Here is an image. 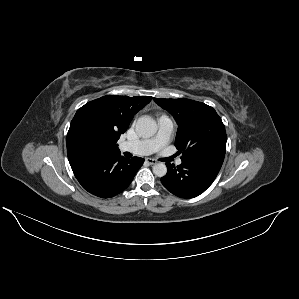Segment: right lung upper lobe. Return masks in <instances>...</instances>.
<instances>
[{
    "label": "right lung upper lobe",
    "instance_id": "obj_1",
    "mask_svg": "<svg viewBox=\"0 0 299 299\" xmlns=\"http://www.w3.org/2000/svg\"><path fill=\"white\" fill-rule=\"evenodd\" d=\"M151 100L150 96L107 95L78 109L67 134L69 162L90 154L119 152L120 135Z\"/></svg>",
    "mask_w": 299,
    "mask_h": 299
}]
</instances>
